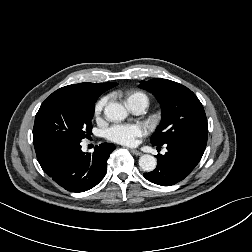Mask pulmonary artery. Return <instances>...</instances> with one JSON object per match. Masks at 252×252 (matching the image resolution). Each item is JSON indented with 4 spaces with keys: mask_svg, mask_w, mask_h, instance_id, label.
<instances>
[{
    "mask_svg": "<svg viewBox=\"0 0 252 252\" xmlns=\"http://www.w3.org/2000/svg\"><path fill=\"white\" fill-rule=\"evenodd\" d=\"M147 103L142 100L131 101L128 103L129 108L136 114L143 113L147 108Z\"/></svg>",
    "mask_w": 252,
    "mask_h": 252,
    "instance_id": "obj_1",
    "label": "pulmonary artery"
}]
</instances>
